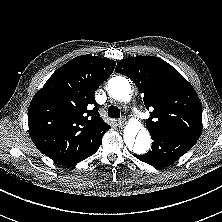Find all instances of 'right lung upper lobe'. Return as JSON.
I'll return each instance as SVG.
<instances>
[{"label": "right lung upper lobe", "instance_id": "right-lung-upper-lobe-1", "mask_svg": "<svg viewBox=\"0 0 222 222\" xmlns=\"http://www.w3.org/2000/svg\"><path fill=\"white\" fill-rule=\"evenodd\" d=\"M116 62L79 56L60 67L33 97L28 111L31 139L45 155L63 165L74 164L102 142L111 127L98 113L94 93ZM89 105H94L88 110Z\"/></svg>", "mask_w": 222, "mask_h": 222}]
</instances>
